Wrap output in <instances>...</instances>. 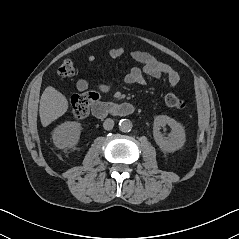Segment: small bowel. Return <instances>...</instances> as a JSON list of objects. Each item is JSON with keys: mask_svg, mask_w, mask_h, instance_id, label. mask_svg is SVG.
<instances>
[{"mask_svg": "<svg viewBox=\"0 0 239 239\" xmlns=\"http://www.w3.org/2000/svg\"><path fill=\"white\" fill-rule=\"evenodd\" d=\"M124 54L122 46L114 47L110 50L109 55L112 59H118ZM132 59L140 64V67H133L124 78L127 84L143 85L145 83L144 75H148L152 78L159 79L165 76L172 87H175L180 82V75L176 70L169 65L161 62L148 52L134 50L130 53ZM88 61L94 63L97 61L95 55L88 56ZM76 88L78 91H87L90 89V85L87 80L79 78L76 81ZM93 89L97 92L106 93L112 89V85L109 83L96 84Z\"/></svg>", "mask_w": 239, "mask_h": 239, "instance_id": "small-bowel-1", "label": "small bowel"}]
</instances>
